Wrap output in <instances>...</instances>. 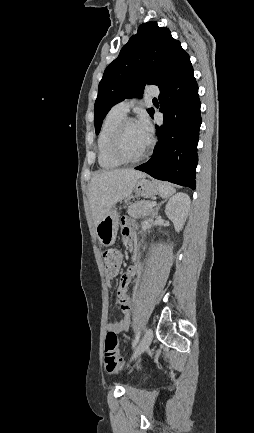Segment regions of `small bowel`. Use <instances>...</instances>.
Returning a JSON list of instances; mask_svg holds the SVG:
<instances>
[{
    "label": "small bowel",
    "instance_id": "small-bowel-1",
    "mask_svg": "<svg viewBox=\"0 0 254 433\" xmlns=\"http://www.w3.org/2000/svg\"><path fill=\"white\" fill-rule=\"evenodd\" d=\"M122 234L126 241H130L134 237V226L128 220H123L122 222ZM137 273V267H130L125 273H123L119 280V285L117 289V303L120 304V314L121 319L118 321H108L106 323V329L108 331H113L115 333L126 332L129 329L130 318H131V308H132V299L128 290V286L132 280V278ZM115 274H107L108 283L110 280L116 275Z\"/></svg>",
    "mask_w": 254,
    "mask_h": 433
}]
</instances>
